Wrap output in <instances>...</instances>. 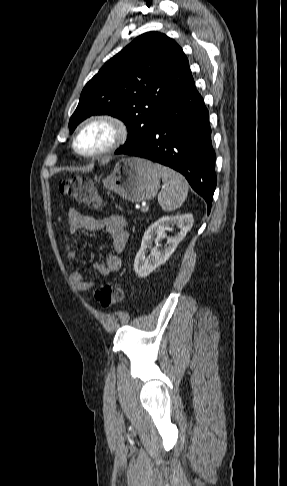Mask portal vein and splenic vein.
Returning a JSON list of instances; mask_svg holds the SVG:
<instances>
[{"mask_svg": "<svg viewBox=\"0 0 287 486\" xmlns=\"http://www.w3.org/2000/svg\"><path fill=\"white\" fill-rule=\"evenodd\" d=\"M149 209V207L146 205V203H143L142 204V210H144L145 212H147Z\"/></svg>", "mask_w": 287, "mask_h": 486, "instance_id": "18ae733b", "label": "portal vein and splenic vein"}]
</instances>
